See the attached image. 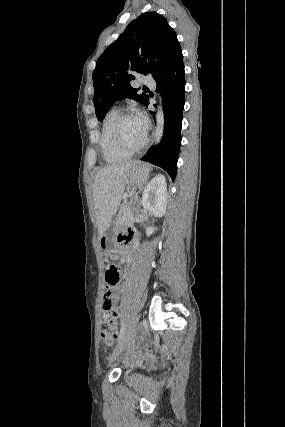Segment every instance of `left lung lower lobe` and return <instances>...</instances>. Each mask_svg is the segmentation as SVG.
I'll use <instances>...</instances> for the list:
<instances>
[{
	"label": "left lung lower lobe",
	"mask_w": 285,
	"mask_h": 427,
	"mask_svg": "<svg viewBox=\"0 0 285 427\" xmlns=\"http://www.w3.org/2000/svg\"><path fill=\"white\" fill-rule=\"evenodd\" d=\"M157 88H163L164 132L155 148L148 150L141 160L163 168L174 179L181 145V124L185 103V73L182 51L170 67L156 79ZM148 106V104L146 105ZM152 113V112H151Z\"/></svg>",
	"instance_id": "1"
}]
</instances>
